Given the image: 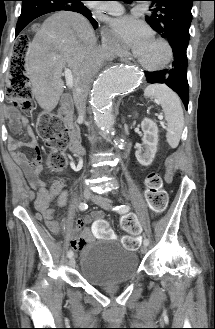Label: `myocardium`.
Listing matches in <instances>:
<instances>
[{"label":"myocardium","mask_w":215,"mask_h":329,"mask_svg":"<svg viewBox=\"0 0 215 329\" xmlns=\"http://www.w3.org/2000/svg\"><path fill=\"white\" fill-rule=\"evenodd\" d=\"M153 40L156 43L160 44L165 50V58L160 64H158V65H148V64L142 62L138 58L137 54H135L136 63L141 68H143L144 70L150 71V72H156V71H161V70L166 69L170 65V63L172 62L173 57H174L173 48H172L171 44L166 39H164L162 37H155V38H153Z\"/></svg>","instance_id":"1"}]
</instances>
